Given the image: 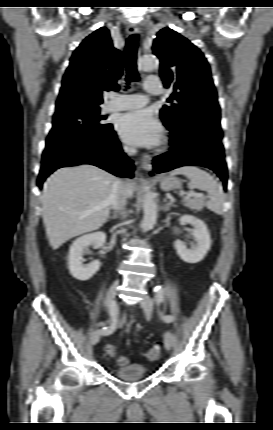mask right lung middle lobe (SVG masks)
Here are the masks:
<instances>
[{"mask_svg":"<svg viewBox=\"0 0 273 430\" xmlns=\"http://www.w3.org/2000/svg\"><path fill=\"white\" fill-rule=\"evenodd\" d=\"M97 104L73 100L56 107L53 117V128L50 131L46 149L75 141L107 135L113 130L111 124L105 123Z\"/></svg>","mask_w":273,"mask_h":430,"instance_id":"dd1d6c3e","label":"right lung middle lobe"}]
</instances>
